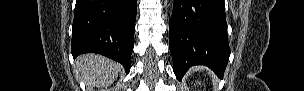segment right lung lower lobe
Masks as SVG:
<instances>
[{
    "label": "right lung lower lobe",
    "mask_w": 304,
    "mask_h": 91,
    "mask_svg": "<svg viewBox=\"0 0 304 91\" xmlns=\"http://www.w3.org/2000/svg\"><path fill=\"white\" fill-rule=\"evenodd\" d=\"M137 0H77L71 52L98 53L130 70Z\"/></svg>",
    "instance_id": "right-lung-lower-lobe-1"
}]
</instances>
